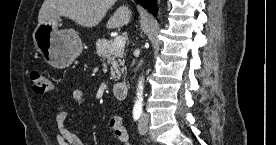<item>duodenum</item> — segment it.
Masks as SVG:
<instances>
[{"mask_svg":"<svg viewBox=\"0 0 276 145\" xmlns=\"http://www.w3.org/2000/svg\"><path fill=\"white\" fill-rule=\"evenodd\" d=\"M113 95L118 100H125L128 94V86L125 82H117L112 87Z\"/></svg>","mask_w":276,"mask_h":145,"instance_id":"1","label":"duodenum"}]
</instances>
